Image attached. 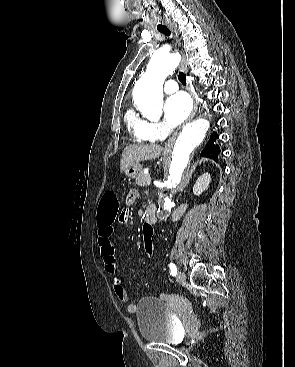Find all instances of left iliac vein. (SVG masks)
Returning <instances> with one entry per match:
<instances>
[{
    "label": "left iliac vein",
    "instance_id": "1",
    "mask_svg": "<svg viewBox=\"0 0 295 367\" xmlns=\"http://www.w3.org/2000/svg\"><path fill=\"white\" fill-rule=\"evenodd\" d=\"M176 279H177V281H179V282H184V281H185V279H186V275H185V273H184V272H182V271H178V272H177V274H176Z\"/></svg>",
    "mask_w": 295,
    "mask_h": 367
}]
</instances>
